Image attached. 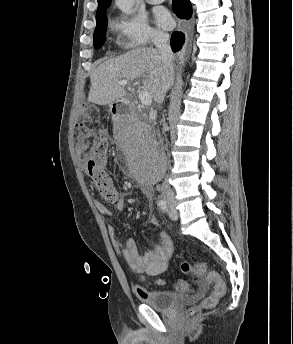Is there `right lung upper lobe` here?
<instances>
[{"mask_svg": "<svg viewBox=\"0 0 293 344\" xmlns=\"http://www.w3.org/2000/svg\"><path fill=\"white\" fill-rule=\"evenodd\" d=\"M98 1V9L97 13L103 10L105 7H109L111 0H97Z\"/></svg>", "mask_w": 293, "mask_h": 344, "instance_id": "obj_1", "label": "right lung upper lobe"}]
</instances>
